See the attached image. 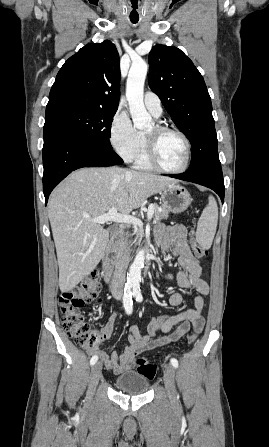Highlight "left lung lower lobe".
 Segmentation results:
<instances>
[{
	"instance_id": "0a47b994",
	"label": "left lung lower lobe",
	"mask_w": 269,
	"mask_h": 447,
	"mask_svg": "<svg viewBox=\"0 0 269 447\" xmlns=\"http://www.w3.org/2000/svg\"><path fill=\"white\" fill-rule=\"evenodd\" d=\"M169 176L172 178L189 181V182H194V183L206 186L208 188H211L219 195L222 203L224 202L225 187H224L223 174H222L221 168L212 170V171H208V172H204V173L198 174V175H187L186 173H183V174L169 175Z\"/></svg>"
}]
</instances>
